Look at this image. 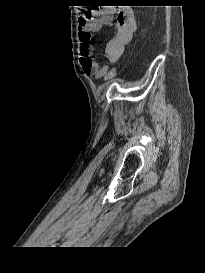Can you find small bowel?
Returning a JSON list of instances; mask_svg holds the SVG:
<instances>
[{"label": "small bowel", "instance_id": "c3829d8e", "mask_svg": "<svg viewBox=\"0 0 205 273\" xmlns=\"http://www.w3.org/2000/svg\"><path fill=\"white\" fill-rule=\"evenodd\" d=\"M115 15L116 33L107 41L105 46L107 60L114 63L120 59L125 46L132 40L136 30L137 24L133 14L128 9L106 6L99 11L87 12L79 19L80 62L84 73L93 79L105 77L109 72V67L91 58L93 54L91 34L99 31L105 25H110Z\"/></svg>", "mask_w": 205, "mask_h": 273}]
</instances>
